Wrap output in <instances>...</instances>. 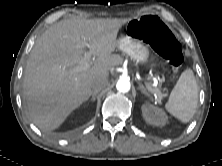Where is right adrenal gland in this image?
Instances as JSON below:
<instances>
[{
	"label": "right adrenal gland",
	"mask_w": 222,
	"mask_h": 166,
	"mask_svg": "<svg viewBox=\"0 0 222 166\" xmlns=\"http://www.w3.org/2000/svg\"><path fill=\"white\" fill-rule=\"evenodd\" d=\"M96 95H97V92H90L89 96L86 98L85 101H87V100L91 97V101H92V102H95V100H96Z\"/></svg>",
	"instance_id": "2a0ac1e0"
}]
</instances>
